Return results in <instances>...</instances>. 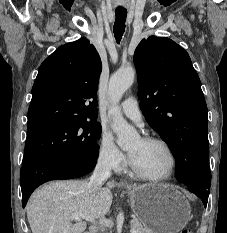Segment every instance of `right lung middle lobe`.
Listing matches in <instances>:
<instances>
[{"label": "right lung middle lobe", "instance_id": "right-lung-middle-lobe-1", "mask_svg": "<svg viewBox=\"0 0 227 233\" xmlns=\"http://www.w3.org/2000/svg\"><path fill=\"white\" fill-rule=\"evenodd\" d=\"M101 135L96 120H77L28 134L22 165L39 158L67 155L88 159L98 154L95 140Z\"/></svg>", "mask_w": 227, "mask_h": 233}]
</instances>
